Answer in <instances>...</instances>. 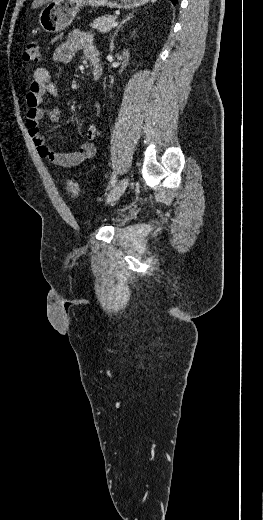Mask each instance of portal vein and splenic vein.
I'll list each match as a JSON object with an SVG mask.
<instances>
[{"mask_svg": "<svg viewBox=\"0 0 263 520\" xmlns=\"http://www.w3.org/2000/svg\"><path fill=\"white\" fill-rule=\"evenodd\" d=\"M117 25H118V23H117L116 21H113V22H112V27H115V26H117Z\"/></svg>", "mask_w": 263, "mask_h": 520, "instance_id": "portal-vein-and-splenic-vein-1", "label": "portal vein and splenic vein"}]
</instances>
